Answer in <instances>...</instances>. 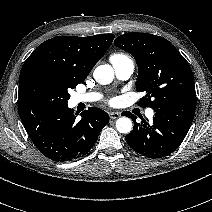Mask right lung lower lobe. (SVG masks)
<instances>
[{"label":"right lung lower lobe","mask_w":212,"mask_h":212,"mask_svg":"<svg viewBox=\"0 0 212 212\" xmlns=\"http://www.w3.org/2000/svg\"><path fill=\"white\" fill-rule=\"evenodd\" d=\"M22 123L34 145L57 162L72 161L86 155L109 122L102 109L90 107L76 120L67 103L19 100Z\"/></svg>","instance_id":"obj_1"}]
</instances>
